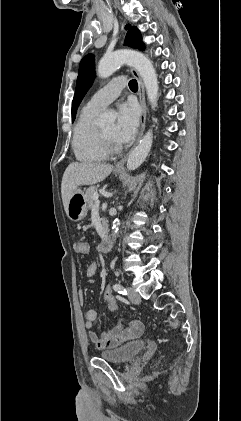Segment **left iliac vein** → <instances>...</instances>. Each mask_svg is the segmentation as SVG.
<instances>
[{
	"instance_id": "left-iliac-vein-1",
	"label": "left iliac vein",
	"mask_w": 241,
	"mask_h": 421,
	"mask_svg": "<svg viewBox=\"0 0 241 421\" xmlns=\"http://www.w3.org/2000/svg\"><path fill=\"white\" fill-rule=\"evenodd\" d=\"M127 292H128V299L134 303V304H138L141 301V297L140 295L133 289V288H127Z\"/></svg>"
}]
</instances>
